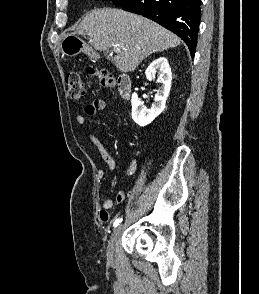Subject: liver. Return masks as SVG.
Here are the masks:
<instances>
[{"instance_id":"6515ba94","label":"liver","mask_w":259,"mask_h":294,"mask_svg":"<svg viewBox=\"0 0 259 294\" xmlns=\"http://www.w3.org/2000/svg\"><path fill=\"white\" fill-rule=\"evenodd\" d=\"M75 34L87 35L89 43L100 52L120 45L122 49L114 58V63L123 73L134 71L151 54L181 43L179 37L159 24L115 8L88 12Z\"/></svg>"}]
</instances>
